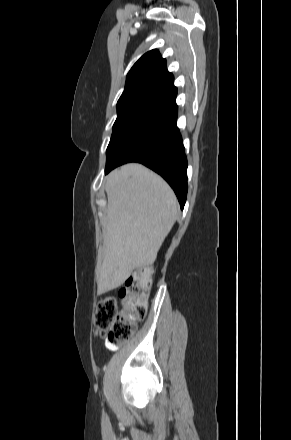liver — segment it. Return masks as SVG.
<instances>
[{"mask_svg": "<svg viewBox=\"0 0 291 440\" xmlns=\"http://www.w3.org/2000/svg\"><path fill=\"white\" fill-rule=\"evenodd\" d=\"M106 193L99 294L121 286L135 268L154 263L178 214L177 198L170 186L138 163L112 171L106 180Z\"/></svg>", "mask_w": 291, "mask_h": 440, "instance_id": "obj_1", "label": "liver"}]
</instances>
